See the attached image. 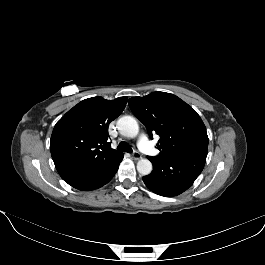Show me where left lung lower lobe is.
<instances>
[{
  "label": "left lung lower lobe",
  "mask_w": 265,
  "mask_h": 265,
  "mask_svg": "<svg viewBox=\"0 0 265 265\" xmlns=\"http://www.w3.org/2000/svg\"><path fill=\"white\" fill-rule=\"evenodd\" d=\"M207 153L208 149H196L170 156H149L153 171L144 176L143 181L156 194L165 197L177 196L190 188L200 175Z\"/></svg>",
  "instance_id": "obj_1"
}]
</instances>
